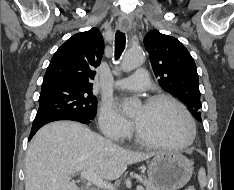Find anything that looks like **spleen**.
Listing matches in <instances>:
<instances>
[{
	"instance_id": "3e777b00",
	"label": "spleen",
	"mask_w": 234,
	"mask_h": 190,
	"mask_svg": "<svg viewBox=\"0 0 234 190\" xmlns=\"http://www.w3.org/2000/svg\"><path fill=\"white\" fill-rule=\"evenodd\" d=\"M198 181L201 189H203L206 186V181H207L204 168H201L198 172Z\"/></svg>"
}]
</instances>
